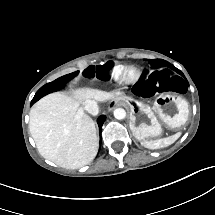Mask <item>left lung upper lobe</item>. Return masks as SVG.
<instances>
[{"label":"left lung upper lobe","instance_id":"5c2ea615","mask_svg":"<svg viewBox=\"0 0 215 215\" xmlns=\"http://www.w3.org/2000/svg\"><path fill=\"white\" fill-rule=\"evenodd\" d=\"M148 62L150 63V65L152 66L153 69L170 66L168 64V62L161 60V59H152V60H148Z\"/></svg>","mask_w":215,"mask_h":215}]
</instances>
